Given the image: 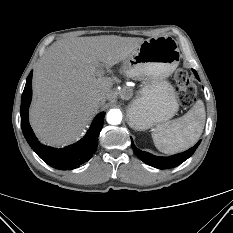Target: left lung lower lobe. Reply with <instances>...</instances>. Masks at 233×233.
Segmentation results:
<instances>
[{
  "instance_id": "obj_1",
  "label": "left lung lower lobe",
  "mask_w": 233,
  "mask_h": 233,
  "mask_svg": "<svg viewBox=\"0 0 233 233\" xmlns=\"http://www.w3.org/2000/svg\"><path fill=\"white\" fill-rule=\"evenodd\" d=\"M196 78L199 80L198 74L195 70H193ZM201 140L195 144V146H193L192 148H190L189 150L183 152V153H179L170 157H158V156H154L148 152H144L139 150L133 143L132 139H131V144H132V148L133 151L135 152V154L146 164L158 168V169H169V168H173L176 167L178 165H180L181 163H183L185 160H187L197 149V147L199 146Z\"/></svg>"
}]
</instances>
